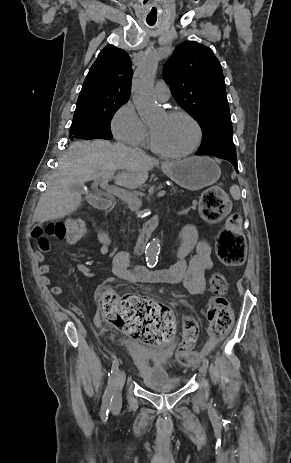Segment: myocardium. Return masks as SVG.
Wrapping results in <instances>:
<instances>
[{
  "instance_id": "f54148a6",
  "label": "myocardium",
  "mask_w": 291,
  "mask_h": 463,
  "mask_svg": "<svg viewBox=\"0 0 291 463\" xmlns=\"http://www.w3.org/2000/svg\"><path fill=\"white\" fill-rule=\"evenodd\" d=\"M165 115L168 117H182L188 120L193 125L194 130H195L194 142L188 149L184 151L175 152V153L164 152L155 146L154 140H153V134H152V131L150 130V147L152 151L158 154L159 156L163 158H167V159L183 158V157L189 156L192 153H194L201 145L202 136H203L201 125L197 121V119L192 114H190L188 111L183 110V109L168 110Z\"/></svg>"
}]
</instances>
